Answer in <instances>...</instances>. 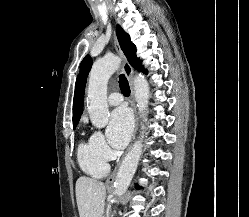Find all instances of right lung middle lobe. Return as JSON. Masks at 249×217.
Listing matches in <instances>:
<instances>
[{"instance_id": "obj_1", "label": "right lung middle lobe", "mask_w": 249, "mask_h": 217, "mask_svg": "<svg viewBox=\"0 0 249 217\" xmlns=\"http://www.w3.org/2000/svg\"><path fill=\"white\" fill-rule=\"evenodd\" d=\"M77 125H73V128L75 129Z\"/></svg>"}]
</instances>
